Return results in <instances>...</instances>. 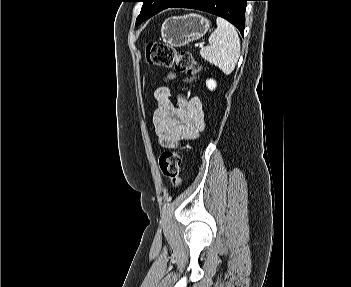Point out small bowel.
Segmentation results:
<instances>
[{
  "label": "small bowel",
  "instance_id": "small-bowel-1",
  "mask_svg": "<svg viewBox=\"0 0 351 287\" xmlns=\"http://www.w3.org/2000/svg\"><path fill=\"white\" fill-rule=\"evenodd\" d=\"M175 77L174 73L168 79ZM157 108L153 114V125L160 144L173 148L187 138L196 136L205 124L202 102L198 97L180 98L175 106L168 87H158L154 91Z\"/></svg>",
  "mask_w": 351,
  "mask_h": 287
}]
</instances>
